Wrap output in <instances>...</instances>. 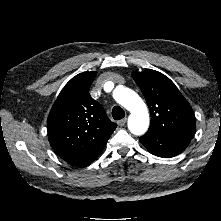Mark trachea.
<instances>
[{
  "instance_id": "obj_1",
  "label": "trachea",
  "mask_w": 221,
  "mask_h": 221,
  "mask_svg": "<svg viewBox=\"0 0 221 221\" xmlns=\"http://www.w3.org/2000/svg\"><path fill=\"white\" fill-rule=\"evenodd\" d=\"M112 116L114 120H120L125 117V112L120 106H115L112 109Z\"/></svg>"
}]
</instances>
